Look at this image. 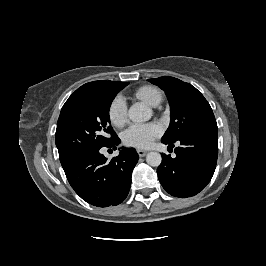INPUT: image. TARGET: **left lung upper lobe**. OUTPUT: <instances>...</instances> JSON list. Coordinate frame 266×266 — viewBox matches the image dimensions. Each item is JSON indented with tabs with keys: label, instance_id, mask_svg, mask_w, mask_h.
Returning <instances> with one entry per match:
<instances>
[{
	"label": "left lung upper lobe",
	"instance_id": "obj_1",
	"mask_svg": "<svg viewBox=\"0 0 266 266\" xmlns=\"http://www.w3.org/2000/svg\"><path fill=\"white\" fill-rule=\"evenodd\" d=\"M148 81L163 89L169 100L170 125L161 141L175 143L198 130L218 129L211 106L191 84L169 76Z\"/></svg>",
	"mask_w": 266,
	"mask_h": 266
}]
</instances>
